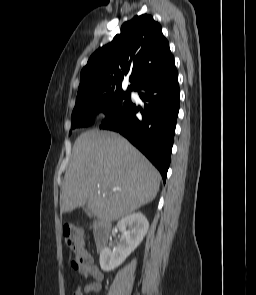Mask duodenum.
I'll list each match as a JSON object with an SVG mask.
<instances>
[{
  "instance_id": "1",
  "label": "duodenum",
  "mask_w": 256,
  "mask_h": 295,
  "mask_svg": "<svg viewBox=\"0 0 256 295\" xmlns=\"http://www.w3.org/2000/svg\"><path fill=\"white\" fill-rule=\"evenodd\" d=\"M111 226L110 223L101 218H96L93 226V234L95 245L99 250H102L109 241Z\"/></svg>"
}]
</instances>
